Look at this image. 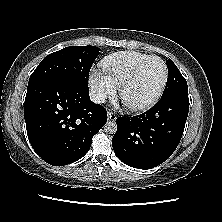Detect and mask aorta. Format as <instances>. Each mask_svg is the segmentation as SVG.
Masks as SVG:
<instances>
[{
    "mask_svg": "<svg viewBox=\"0 0 222 222\" xmlns=\"http://www.w3.org/2000/svg\"><path fill=\"white\" fill-rule=\"evenodd\" d=\"M104 130L105 132L109 133V134H115L117 131V124L116 122H111L108 121L105 126H104Z\"/></svg>",
    "mask_w": 222,
    "mask_h": 222,
    "instance_id": "762f6f07",
    "label": "aorta"
}]
</instances>
